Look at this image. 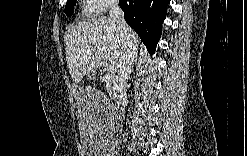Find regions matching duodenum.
<instances>
[{
    "label": "duodenum",
    "mask_w": 247,
    "mask_h": 156,
    "mask_svg": "<svg viewBox=\"0 0 247 156\" xmlns=\"http://www.w3.org/2000/svg\"><path fill=\"white\" fill-rule=\"evenodd\" d=\"M108 78L111 80V82H113L115 84V87H116L117 101H116L115 109H116V111H118L119 106L121 104V88L118 84V81L116 80V78L114 76L108 75Z\"/></svg>",
    "instance_id": "1"
}]
</instances>
